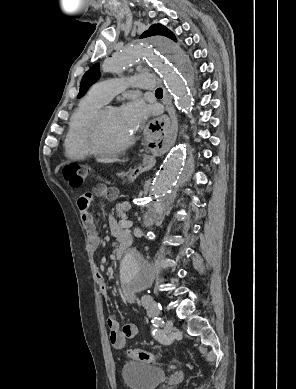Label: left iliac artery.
I'll use <instances>...</instances> for the list:
<instances>
[{
    "label": "left iliac artery",
    "mask_w": 296,
    "mask_h": 389,
    "mask_svg": "<svg viewBox=\"0 0 296 389\" xmlns=\"http://www.w3.org/2000/svg\"><path fill=\"white\" fill-rule=\"evenodd\" d=\"M152 323L155 327L163 326L164 321L161 318H157L156 316L152 319ZM156 330L153 331V334L155 335Z\"/></svg>",
    "instance_id": "1"
}]
</instances>
